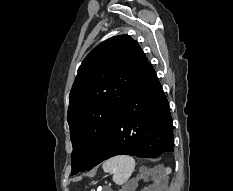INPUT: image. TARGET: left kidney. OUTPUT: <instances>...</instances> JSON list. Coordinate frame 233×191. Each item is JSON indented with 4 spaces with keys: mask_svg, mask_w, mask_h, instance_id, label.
Here are the masks:
<instances>
[{
    "mask_svg": "<svg viewBox=\"0 0 233 191\" xmlns=\"http://www.w3.org/2000/svg\"><path fill=\"white\" fill-rule=\"evenodd\" d=\"M151 176L154 177V179L156 181V184L152 185L150 187V190H148V191H160V189H159V185H160L159 177H160V175H157V174L154 175V174L151 173ZM140 178L147 179L148 176H140Z\"/></svg>",
    "mask_w": 233,
    "mask_h": 191,
    "instance_id": "left-kidney-1",
    "label": "left kidney"
}]
</instances>
